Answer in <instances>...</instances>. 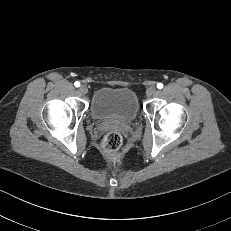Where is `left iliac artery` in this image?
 Here are the masks:
<instances>
[{
  "label": "left iliac artery",
  "instance_id": "1",
  "mask_svg": "<svg viewBox=\"0 0 231 231\" xmlns=\"http://www.w3.org/2000/svg\"><path fill=\"white\" fill-rule=\"evenodd\" d=\"M157 88H158V89H162V88H163V84H162V83H158V84H157Z\"/></svg>",
  "mask_w": 231,
  "mask_h": 231
}]
</instances>
